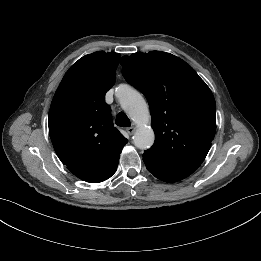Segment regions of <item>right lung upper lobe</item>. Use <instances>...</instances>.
Returning a JSON list of instances; mask_svg holds the SVG:
<instances>
[{"label": "right lung upper lobe", "mask_w": 261, "mask_h": 261, "mask_svg": "<svg viewBox=\"0 0 261 261\" xmlns=\"http://www.w3.org/2000/svg\"><path fill=\"white\" fill-rule=\"evenodd\" d=\"M120 56L100 51L80 58L63 77L51 103L48 126L56 154L86 182L110 178L128 142L114 127L105 102Z\"/></svg>", "instance_id": "obj_1"}]
</instances>
